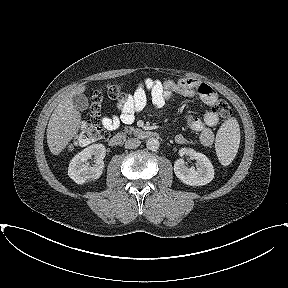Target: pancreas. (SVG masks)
Segmentation results:
<instances>
[{
  "label": "pancreas",
  "mask_w": 288,
  "mask_h": 288,
  "mask_svg": "<svg viewBox=\"0 0 288 288\" xmlns=\"http://www.w3.org/2000/svg\"><path fill=\"white\" fill-rule=\"evenodd\" d=\"M125 130L128 131H134L135 129L133 127H125Z\"/></svg>",
  "instance_id": "pancreas-1"
}]
</instances>
